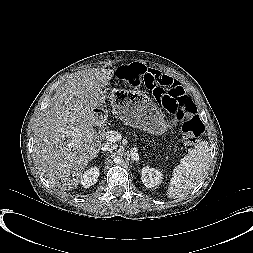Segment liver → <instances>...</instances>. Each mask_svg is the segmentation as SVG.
Returning a JSON list of instances; mask_svg holds the SVG:
<instances>
[{
  "mask_svg": "<svg viewBox=\"0 0 253 253\" xmlns=\"http://www.w3.org/2000/svg\"><path fill=\"white\" fill-rule=\"evenodd\" d=\"M114 71L92 68L69 76L56 90L34 129L38 168L63 190L78 185L96 157L101 137L93 128L94 109L105 103Z\"/></svg>",
  "mask_w": 253,
  "mask_h": 253,
  "instance_id": "6515ba94",
  "label": "liver"
}]
</instances>
